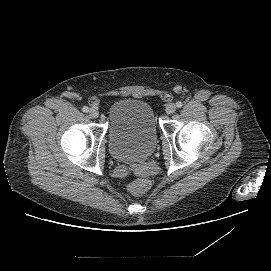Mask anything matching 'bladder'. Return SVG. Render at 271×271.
<instances>
[{"instance_id":"obj_1","label":"bladder","mask_w":271,"mask_h":271,"mask_svg":"<svg viewBox=\"0 0 271 271\" xmlns=\"http://www.w3.org/2000/svg\"><path fill=\"white\" fill-rule=\"evenodd\" d=\"M109 116V151L124 163H141L153 153L157 144V129L152 107L136 99L114 102Z\"/></svg>"}]
</instances>
